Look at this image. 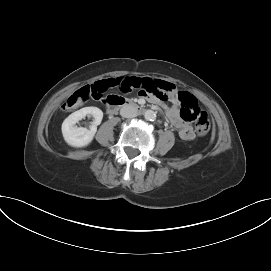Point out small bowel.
<instances>
[{"mask_svg":"<svg viewBox=\"0 0 271 271\" xmlns=\"http://www.w3.org/2000/svg\"><path fill=\"white\" fill-rule=\"evenodd\" d=\"M158 85L162 89H158ZM90 87L96 90L116 87L117 94L139 91V97L146 98L151 105H163L165 107L167 117L178 130L181 139L192 140L195 137L192 127L182 119L176 107L179 104L178 91L171 82L157 80L156 76H120L117 79L110 78L97 81ZM170 101L172 105H169Z\"/></svg>","mask_w":271,"mask_h":271,"instance_id":"1","label":"small bowel"}]
</instances>
